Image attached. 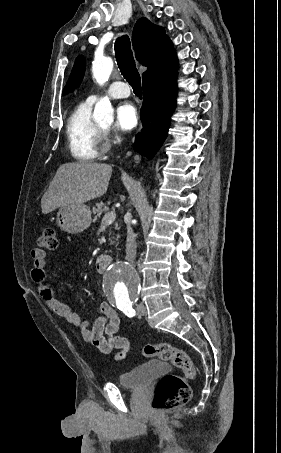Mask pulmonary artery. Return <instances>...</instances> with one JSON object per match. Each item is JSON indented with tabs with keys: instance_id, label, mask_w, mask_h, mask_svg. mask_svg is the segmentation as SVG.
<instances>
[{
	"instance_id": "1",
	"label": "pulmonary artery",
	"mask_w": 281,
	"mask_h": 453,
	"mask_svg": "<svg viewBox=\"0 0 281 453\" xmlns=\"http://www.w3.org/2000/svg\"><path fill=\"white\" fill-rule=\"evenodd\" d=\"M129 94L130 92L127 84L120 81L113 82L106 91V95L111 98H124L129 96ZM98 98L99 97L97 95L93 94L90 95L88 99L95 102L98 100Z\"/></svg>"
}]
</instances>
